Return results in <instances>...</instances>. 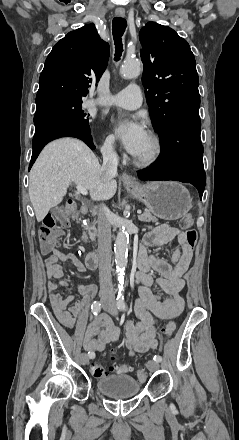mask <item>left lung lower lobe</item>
I'll use <instances>...</instances> for the list:
<instances>
[{
	"mask_svg": "<svg viewBox=\"0 0 239 440\" xmlns=\"http://www.w3.org/2000/svg\"><path fill=\"white\" fill-rule=\"evenodd\" d=\"M200 118L185 117L168 124L159 135L162 151L149 170L138 172L144 180H175L194 185L202 199L206 184Z\"/></svg>",
	"mask_w": 239,
	"mask_h": 440,
	"instance_id": "0a47b994",
	"label": "left lung lower lobe"
}]
</instances>
